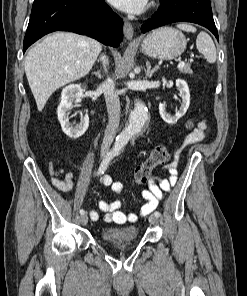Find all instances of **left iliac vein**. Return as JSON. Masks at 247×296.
Segmentation results:
<instances>
[{
	"instance_id": "1",
	"label": "left iliac vein",
	"mask_w": 247,
	"mask_h": 296,
	"mask_svg": "<svg viewBox=\"0 0 247 296\" xmlns=\"http://www.w3.org/2000/svg\"><path fill=\"white\" fill-rule=\"evenodd\" d=\"M149 222L151 224H153V225H156L159 222V218L157 216H155V215H150L149 216Z\"/></svg>"
}]
</instances>
